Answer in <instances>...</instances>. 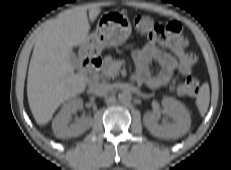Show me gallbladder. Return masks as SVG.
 <instances>
[{"instance_id": "obj_1", "label": "gallbladder", "mask_w": 231, "mask_h": 170, "mask_svg": "<svg viewBox=\"0 0 231 170\" xmlns=\"http://www.w3.org/2000/svg\"><path fill=\"white\" fill-rule=\"evenodd\" d=\"M71 59H72L73 64H75V56L73 52H71Z\"/></svg>"}]
</instances>
